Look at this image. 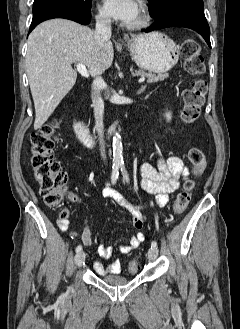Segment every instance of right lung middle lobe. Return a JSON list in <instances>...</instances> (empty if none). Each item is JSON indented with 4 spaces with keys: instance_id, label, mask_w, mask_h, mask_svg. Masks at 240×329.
Listing matches in <instances>:
<instances>
[{
    "instance_id": "dd1d6c3e",
    "label": "right lung middle lobe",
    "mask_w": 240,
    "mask_h": 329,
    "mask_svg": "<svg viewBox=\"0 0 240 329\" xmlns=\"http://www.w3.org/2000/svg\"><path fill=\"white\" fill-rule=\"evenodd\" d=\"M92 0H35L33 7L40 5H55L67 8L89 11Z\"/></svg>"
}]
</instances>
